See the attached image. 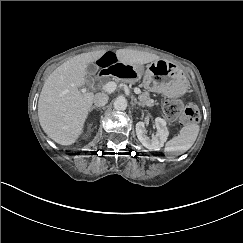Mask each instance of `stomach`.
Masks as SVG:
<instances>
[{
	"instance_id": "1",
	"label": "stomach",
	"mask_w": 243,
	"mask_h": 243,
	"mask_svg": "<svg viewBox=\"0 0 243 243\" xmlns=\"http://www.w3.org/2000/svg\"><path fill=\"white\" fill-rule=\"evenodd\" d=\"M139 75H143V84L148 91L162 93L168 97H179L188 88V80L182 70L165 60L151 62L146 70L134 66Z\"/></svg>"
}]
</instances>
